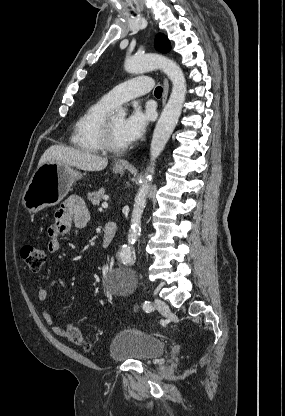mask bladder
Masks as SVG:
<instances>
[{"instance_id": "1", "label": "bladder", "mask_w": 285, "mask_h": 416, "mask_svg": "<svg viewBox=\"0 0 285 416\" xmlns=\"http://www.w3.org/2000/svg\"><path fill=\"white\" fill-rule=\"evenodd\" d=\"M165 347V342L141 330L122 329L112 339L109 356L113 361H147L161 357Z\"/></svg>"}]
</instances>
